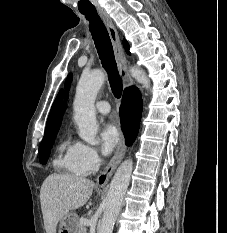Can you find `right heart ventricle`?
<instances>
[{"instance_id": "right-heart-ventricle-1", "label": "right heart ventricle", "mask_w": 227, "mask_h": 233, "mask_svg": "<svg viewBox=\"0 0 227 233\" xmlns=\"http://www.w3.org/2000/svg\"><path fill=\"white\" fill-rule=\"evenodd\" d=\"M54 165L57 169L69 175L82 176L85 174L78 162L77 145L68 140L59 146Z\"/></svg>"}]
</instances>
